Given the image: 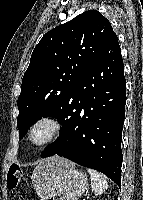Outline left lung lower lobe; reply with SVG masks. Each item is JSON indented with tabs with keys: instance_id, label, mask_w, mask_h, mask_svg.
Masks as SVG:
<instances>
[{
	"instance_id": "obj_1",
	"label": "left lung lower lobe",
	"mask_w": 143,
	"mask_h": 200,
	"mask_svg": "<svg viewBox=\"0 0 143 200\" xmlns=\"http://www.w3.org/2000/svg\"><path fill=\"white\" fill-rule=\"evenodd\" d=\"M125 89L121 49L115 36L77 81L69 97L68 124L41 157L58 154L104 173L120 186Z\"/></svg>"
}]
</instances>
